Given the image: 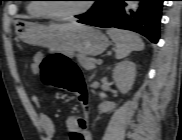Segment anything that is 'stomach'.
I'll use <instances>...</instances> for the list:
<instances>
[{
	"instance_id": "0dacf381",
	"label": "stomach",
	"mask_w": 182,
	"mask_h": 140,
	"mask_svg": "<svg viewBox=\"0 0 182 140\" xmlns=\"http://www.w3.org/2000/svg\"><path fill=\"white\" fill-rule=\"evenodd\" d=\"M15 31L19 39L29 44L48 47L51 51L72 56L100 55L109 46V39L95 27L82 25L71 29H50L37 23L18 20Z\"/></svg>"
}]
</instances>
